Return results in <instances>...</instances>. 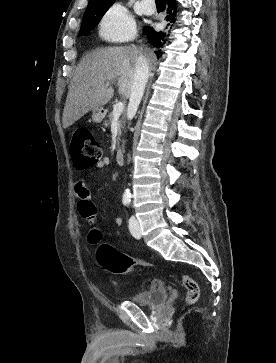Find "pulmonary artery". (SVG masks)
<instances>
[{"instance_id":"e3ab8cb5","label":"pulmonary artery","mask_w":276,"mask_h":363,"mask_svg":"<svg viewBox=\"0 0 276 363\" xmlns=\"http://www.w3.org/2000/svg\"><path fill=\"white\" fill-rule=\"evenodd\" d=\"M142 9H143V13L150 15L154 12V9L149 7L148 5V0H143L142 1Z\"/></svg>"}]
</instances>
